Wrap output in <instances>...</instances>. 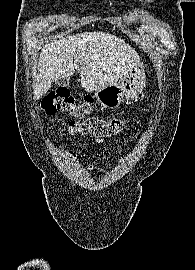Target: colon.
Masks as SVG:
<instances>
[{
    "instance_id": "colon-1",
    "label": "colon",
    "mask_w": 195,
    "mask_h": 270,
    "mask_svg": "<svg viewBox=\"0 0 195 270\" xmlns=\"http://www.w3.org/2000/svg\"><path fill=\"white\" fill-rule=\"evenodd\" d=\"M41 106L48 115H53L58 111L68 112L75 119L65 123V128L71 134L107 137L120 132L125 124V120L119 117H91L94 109L92 96L86 95L76 102L70 91L63 88L48 93Z\"/></svg>"
}]
</instances>
